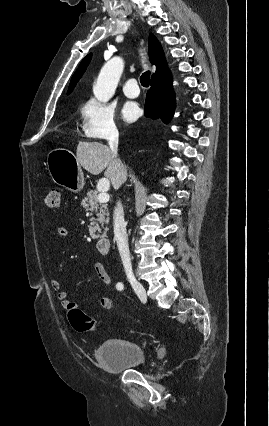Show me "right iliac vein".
I'll use <instances>...</instances> for the list:
<instances>
[{"instance_id":"right-iliac-vein-1","label":"right iliac vein","mask_w":269,"mask_h":426,"mask_svg":"<svg viewBox=\"0 0 269 426\" xmlns=\"http://www.w3.org/2000/svg\"><path fill=\"white\" fill-rule=\"evenodd\" d=\"M129 282H130L131 286L133 287V289L135 290L138 297L140 298V300L143 301V302H146L147 294H146V290L143 287V285L138 280H136L134 277H130Z\"/></svg>"}]
</instances>
